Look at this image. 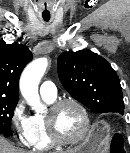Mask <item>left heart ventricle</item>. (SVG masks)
<instances>
[{"label": "left heart ventricle", "instance_id": "b2bd125f", "mask_svg": "<svg viewBox=\"0 0 130 153\" xmlns=\"http://www.w3.org/2000/svg\"><path fill=\"white\" fill-rule=\"evenodd\" d=\"M55 122L59 134L64 138H76L83 129L82 115L73 105L63 106L57 112Z\"/></svg>", "mask_w": 130, "mask_h": 153}]
</instances>
